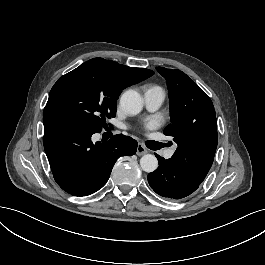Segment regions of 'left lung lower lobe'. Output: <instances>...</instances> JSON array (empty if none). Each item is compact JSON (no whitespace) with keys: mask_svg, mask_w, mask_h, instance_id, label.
<instances>
[{"mask_svg":"<svg viewBox=\"0 0 265 265\" xmlns=\"http://www.w3.org/2000/svg\"><path fill=\"white\" fill-rule=\"evenodd\" d=\"M159 161L156 171L148 175L150 187L160 196L182 199L193 193L204 179L188 170L180 162L170 158L165 160L155 154Z\"/></svg>","mask_w":265,"mask_h":265,"instance_id":"0a47b994","label":"left lung lower lobe"}]
</instances>
